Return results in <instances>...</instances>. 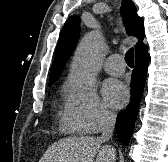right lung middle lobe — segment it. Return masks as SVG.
<instances>
[{
    "label": "right lung middle lobe",
    "mask_w": 168,
    "mask_h": 162,
    "mask_svg": "<svg viewBox=\"0 0 168 162\" xmlns=\"http://www.w3.org/2000/svg\"><path fill=\"white\" fill-rule=\"evenodd\" d=\"M53 83H54V82H50V83H49V86L52 85Z\"/></svg>",
    "instance_id": "dd1d6c3e"
}]
</instances>
